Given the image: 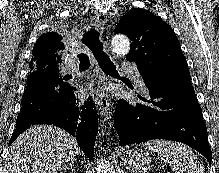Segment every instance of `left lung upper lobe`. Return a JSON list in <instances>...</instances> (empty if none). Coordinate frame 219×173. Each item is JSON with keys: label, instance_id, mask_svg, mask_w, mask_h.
<instances>
[{"label": "left lung upper lobe", "instance_id": "left-lung-upper-lobe-1", "mask_svg": "<svg viewBox=\"0 0 219 173\" xmlns=\"http://www.w3.org/2000/svg\"><path fill=\"white\" fill-rule=\"evenodd\" d=\"M115 32L127 35L132 43L126 59L135 62L146 85L164 89L191 83L186 59L172 28L142 8L121 17Z\"/></svg>", "mask_w": 219, "mask_h": 173}]
</instances>
